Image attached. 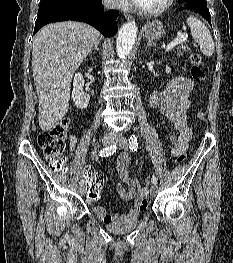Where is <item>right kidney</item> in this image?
<instances>
[{
	"mask_svg": "<svg viewBox=\"0 0 233 263\" xmlns=\"http://www.w3.org/2000/svg\"><path fill=\"white\" fill-rule=\"evenodd\" d=\"M84 78L81 73H76L73 81L72 99L75 106L84 109L88 106L90 95L83 91Z\"/></svg>",
	"mask_w": 233,
	"mask_h": 263,
	"instance_id": "1",
	"label": "right kidney"
}]
</instances>
